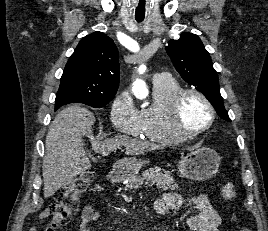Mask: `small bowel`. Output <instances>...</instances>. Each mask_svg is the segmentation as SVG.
I'll list each match as a JSON object with an SVG mask.
<instances>
[{
	"label": "small bowel",
	"instance_id": "small-bowel-1",
	"mask_svg": "<svg viewBox=\"0 0 268 231\" xmlns=\"http://www.w3.org/2000/svg\"><path fill=\"white\" fill-rule=\"evenodd\" d=\"M192 205L196 212L187 216L186 223L192 231H218L219 215L214 209L210 198L205 194H200L193 198H186L180 194L167 192L155 202L157 213L164 214L169 210H178L184 205ZM45 212L40 213V217ZM100 211L95 210L93 204L86 205L81 213L82 223L80 231H91L93 223L99 218ZM30 231H37L32 227Z\"/></svg>",
	"mask_w": 268,
	"mask_h": 231
}]
</instances>
